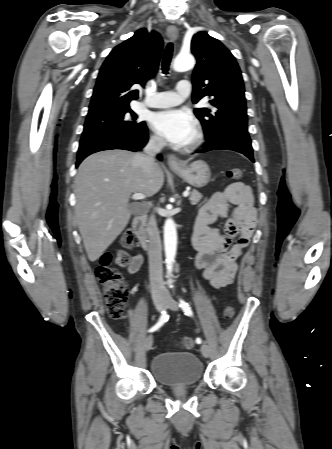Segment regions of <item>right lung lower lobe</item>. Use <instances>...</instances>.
Wrapping results in <instances>:
<instances>
[{"instance_id": "98d812e1", "label": "right lung lower lobe", "mask_w": 332, "mask_h": 449, "mask_svg": "<svg viewBox=\"0 0 332 449\" xmlns=\"http://www.w3.org/2000/svg\"><path fill=\"white\" fill-rule=\"evenodd\" d=\"M147 141L148 130L146 126L132 134L97 133L84 136L80 140L76 167L92 153L111 149L139 151L146 145ZM158 158L161 159V155H158Z\"/></svg>"}]
</instances>
